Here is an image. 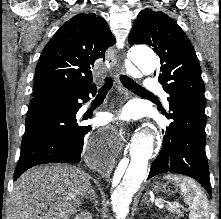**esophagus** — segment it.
<instances>
[{
  "mask_svg": "<svg viewBox=\"0 0 221 219\" xmlns=\"http://www.w3.org/2000/svg\"><path fill=\"white\" fill-rule=\"evenodd\" d=\"M113 63L116 66V74L117 77H119V75L125 74V69L124 66L122 65V63L118 60L117 57H115V55H113Z\"/></svg>",
  "mask_w": 221,
  "mask_h": 219,
  "instance_id": "esophagus-1",
  "label": "esophagus"
}]
</instances>
